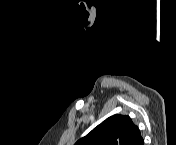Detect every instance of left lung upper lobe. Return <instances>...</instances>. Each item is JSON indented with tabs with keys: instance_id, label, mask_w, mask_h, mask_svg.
<instances>
[{
	"instance_id": "obj_1",
	"label": "left lung upper lobe",
	"mask_w": 176,
	"mask_h": 145,
	"mask_svg": "<svg viewBox=\"0 0 176 145\" xmlns=\"http://www.w3.org/2000/svg\"><path fill=\"white\" fill-rule=\"evenodd\" d=\"M140 131L129 116L113 115L75 145H143Z\"/></svg>"
}]
</instances>
